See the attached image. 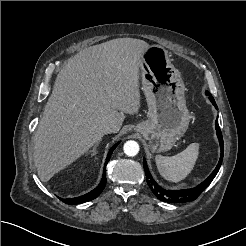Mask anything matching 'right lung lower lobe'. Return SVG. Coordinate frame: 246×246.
Segmentation results:
<instances>
[{"label":"right lung lower lobe","instance_id":"obj_1","mask_svg":"<svg viewBox=\"0 0 246 246\" xmlns=\"http://www.w3.org/2000/svg\"><path fill=\"white\" fill-rule=\"evenodd\" d=\"M117 147V144L114 145L108 155H107V159H106V162H105V165H104V171H103V176H102V180L100 182V184L94 189L92 190L91 192L85 194V195H82L80 197H76V198H69V199H61L64 203H67L69 205H75V204H79V203H83V202H87V201H90V200H93L95 199L96 197H98L100 195V193L103 191L105 185H106V165L107 163L109 162L110 160V157H111V154L112 152L114 151V149Z\"/></svg>","mask_w":246,"mask_h":246}]
</instances>
